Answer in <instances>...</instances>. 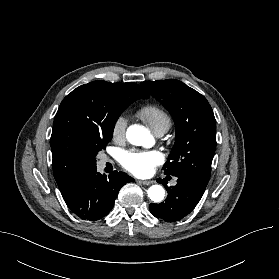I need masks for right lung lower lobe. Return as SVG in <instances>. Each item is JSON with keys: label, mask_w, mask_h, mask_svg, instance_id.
Instances as JSON below:
<instances>
[{"label": "right lung lower lobe", "mask_w": 279, "mask_h": 279, "mask_svg": "<svg viewBox=\"0 0 279 279\" xmlns=\"http://www.w3.org/2000/svg\"><path fill=\"white\" fill-rule=\"evenodd\" d=\"M133 178L114 171L106 178L97 172L96 166L85 167L67 193L63 194L67 206L83 220H98L113 208L120 188Z\"/></svg>", "instance_id": "right-lung-lower-lobe-1"}]
</instances>
